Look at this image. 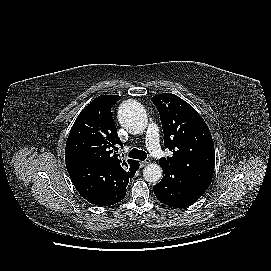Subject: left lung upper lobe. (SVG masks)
<instances>
[{"label":"left lung upper lobe","mask_w":271,"mask_h":271,"mask_svg":"<svg viewBox=\"0 0 271 271\" xmlns=\"http://www.w3.org/2000/svg\"><path fill=\"white\" fill-rule=\"evenodd\" d=\"M164 132V145L173 155L161 158L163 171H177L209 187L215 165L214 143L199 113L172 93L152 97Z\"/></svg>","instance_id":"left-lung-upper-lobe-1"}]
</instances>
